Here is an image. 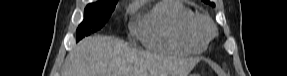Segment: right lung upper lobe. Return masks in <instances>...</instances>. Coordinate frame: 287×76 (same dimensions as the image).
<instances>
[{"label":"right lung upper lobe","mask_w":287,"mask_h":76,"mask_svg":"<svg viewBox=\"0 0 287 76\" xmlns=\"http://www.w3.org/2000/svg\"><path fill=\"white\" fill-rule=\"evenodd\" d=\"M108 1H114V2H117L118 0H98V2H108Z\"/></svg>","instance_id":"right-lung-upper-lobe-1"}]
</instances>
